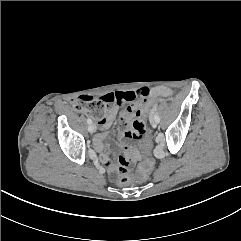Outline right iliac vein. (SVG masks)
Segmentation results:
<instances>
[{"instance_id": "obj_1", "label": "right iliac vein", "mask_w": 241, "mask_h": 241, "mask_svg": "<svg viewBox=\"0 0 241 241\" xmlns=\"http://www.w3.org/2000/svg\"><path fill=\"white\" fill-rule=\"evenodd\" d=\"M88 131H89L90 133L95 132V131H96V126H95L94 124H90V125L88 126Z\"/></svg>"}]
</instances>
